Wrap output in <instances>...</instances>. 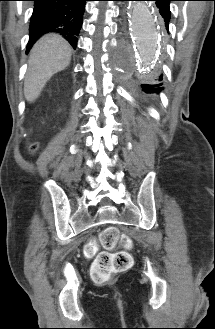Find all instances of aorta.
<instances>
[{"mask_svg": "<svg viewBox=\"0 0 215 329\" xmlns=\"http://www.w3.org/2000/svg\"><path fill=\"white\" fill-rule=\"evenodd\" d=\"M129 28L144 62L150 64L160 47L159 16L152 4L129 2Z\"/></svg>", "mask_w": 215, "mask_h": 329, "instance_id": "obj_1", "label": "aorta"}]
</instances>
